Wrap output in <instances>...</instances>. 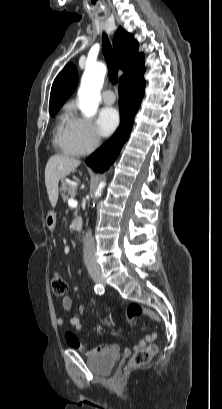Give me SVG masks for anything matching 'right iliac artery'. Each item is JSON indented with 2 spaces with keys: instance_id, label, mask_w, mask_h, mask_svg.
I'll list each match as a JSON object with an SVG mask.
<instances>
[{
  "instance_id": "obj_1",
  "label": "right iliac artery",
  "mask_w": 222,
  "mask_h": 409,
  "mask_svg": "<svg viewBox=\"0 0 222 409\" xmlns=\"http://www.w3.org/2000/svg\"><path fill=\"white\" fill-rule=\"evenodd\" d=\"M94 291H95L96 294L102 295V294H104L105 289L101 284H96L94 286Z\"/></svg>"
}]
</instances>
